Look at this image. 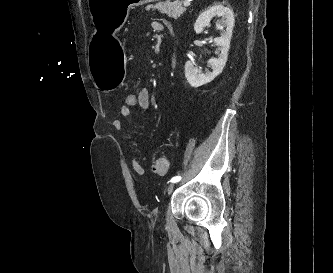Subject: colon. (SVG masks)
Segmentation results:
<instances>
[{"label":"colon","instance_id":"colon-1","mask_svg":"<svg viewBox=\"0 0 333 273\" xmlns=\"http://www.w3.org/2000/svg\"><path fill=\"white\" fill-rule=\"evenodd\" d=\"M138 105V93L126 94L124 106L131 109ZM169 169V160L165 157L157 158L152 166V170L157 175H165Z\"/></svg>","mask_w":333,"mask_h":273}]
</instances>
